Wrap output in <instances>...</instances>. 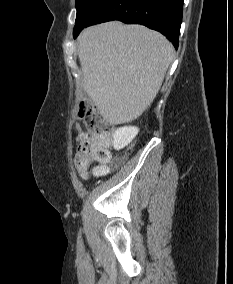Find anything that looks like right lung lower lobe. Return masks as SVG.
Segmentation results:
<instances>
[{"label":"right lung lower lobe","instance_id":"98d812e1","mask_svg":"<svg viewBox=\"0 0 233 284\" xmlns=\"http://www.w3.org/2000/svg\"><path fill=\"white\" fill-rule=\"evenodd\" d=\"M182 11L183 0H109L84 27L73 32V36L76 38L87 26L119 20L159 31L178 48Z\"/></svg>","mask_w":233,"mask_h":284}]
</instances>
